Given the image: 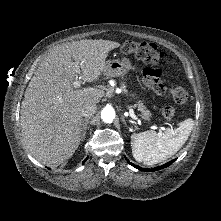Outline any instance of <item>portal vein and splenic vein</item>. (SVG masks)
<instances>
[{
	"label": "portal vein and splenic vein",
	"instance_id": "18ae733b",
	"mask_svg": "<svg viewBox=\"0 0 221 221\" xmlns=\"http://www.w3.org/2000/svg\"><path fill=\"white\" fill-rule=\"evenodd\" d=\"M73 69L76 71V73H80V69H79V66L78 64L74 63L73 64ZM73 86L74 88H79L81 86V80L80 79H76L74 82H73ZM129 114L130 116L134 119V120H138V117L134 114V111L132 109H130L129 111ZM158 130H159V134L162 133V131L164 130V127H158Z\"/></svg>",
	"mask_w": 221,
	"mask_h": 221
}]
</instances>
